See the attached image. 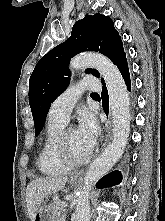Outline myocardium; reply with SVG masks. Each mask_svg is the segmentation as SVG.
Listing matches in <instances>:
<instances>
[{
  "mask_svg": "<svg viewBox=\"0 0 165 221\" xmlns=\"http://www.w3.org/2000/svg\"><path fill=\"white\" fill-rule=\"evenodd\" d=\"M72 129H75V128L72 126L64 127L59 133L57 141H56V154H57L59 161L62 164L70 168L78 167V166L85 164L91 159L93 155L92 148L82 158L76 159L71 155L69 148H68L67 137H68V133Z\"/></svg>",
  "mask_w": 165,
  "mask_h": 221,
  "instance_id": "1",
  "label": "myocardium"
}]
</instances>
